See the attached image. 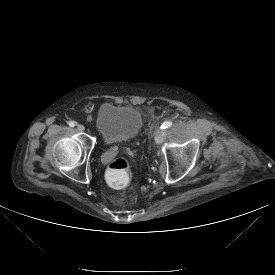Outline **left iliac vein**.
I'll list each match as a JSON object with an SVG mask.
<instances>
[{
	"label": "left iliac vein",
	"instance_id": "left-iliac-vein-1",
	"mask_svg": "<svg viewBox=\"0 0 275 275\" xmlns=\"http://www.w3.org/2000/svg\"><path fill=\"white\" fill-rule=\"evenodd\" d=\"M165 138V130L162 128H158L154 132V139L157 144H160L164 141Z\"/></svg>",
	"mask_w": 275,
	"mask_h": 275
}]
</instances>
